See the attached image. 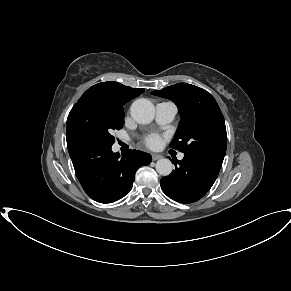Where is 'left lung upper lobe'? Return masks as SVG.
<instances>
[{
    "mask_svg": "<svg viewBox=\"0 0 291 291\" xmlns=\"http://www.w3.org/2000/svg\"><path fill=\"white\" fill-rule=\"evenodd\" d=\"M151 94L170 99L178 106L181 121L170 147L189 155L224 159L227 147L225 122L209 92L178 83Z\"/></svg>",
    "mask_w": 291,
    "mask_h": 291,
    "instance_id": "left-lung-upper-lobe-1",
    "label": "left lung upper lobe"
}]
</instances>
